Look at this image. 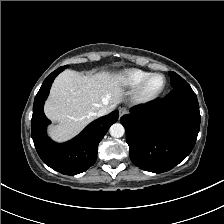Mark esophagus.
Segmentation results:
<instances>
[{
    "mask_svg": "<svg viewBox=\"0 0 224 224\" xmlns=\"http://www.w3.org/2000/svg\"><path fill=\"white\" fill-rule=\"evenodd\" d=\"M126 113H127V109L125 107H122V108L119 109V115H120V117H122Z\"/></svg>",
    "mask_w": 224,
    "mask_h": 224,
    "instance_id": "34e87169",
    "label": "esophagus"
}]
</instances>
